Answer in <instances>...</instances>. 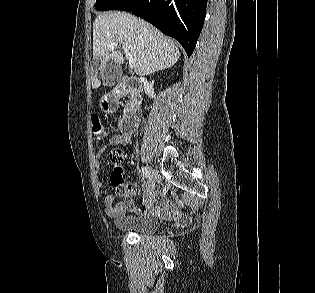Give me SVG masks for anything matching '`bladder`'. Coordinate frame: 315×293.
Listing matches in <instances>:
<instances>
[{
  "label": "bladder",
  "mask_w": 315,
  "mask_h": 293,
  "mask_svg": "<svg viewBox=\"0 0 315 293\" xmlns=\"http://www.w3.org/2000/svg\"><path fill=\"white\" fill-rule=\"evenodd\" d=\"M115 228L122 232L135 234H152L157 231V222L146 216H118L114 219Z\"/></svg>",
  "instance_id": "bladder-1"
}]
</instances>
